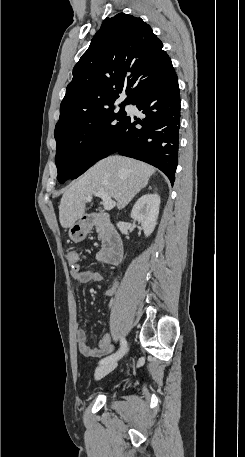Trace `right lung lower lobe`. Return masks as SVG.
<instances>
[{
  "label": "right lung lower lobe",
  "mask_w": 245,
  "mask_h": 457,
  "mask_svg": "<svg viewBox=\"0 0 245 457\" xmlns=\"http://www.w3.org/2000/svg\"><path fill=\"white\" fill-rule=\"evenodd\" d=\"M180 102L174 69L143 83L128 103L136 105L146 118L126 116L111 154L117 152L147 162L173 184L178 165Z\"/></svg>",
  "instance_id": "obj_1"
}]
</instances>
